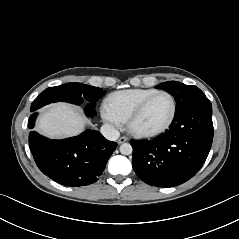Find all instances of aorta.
Masks as SVG:
<instances>
[{
  "label": "aorta",
  "mask_w": 239,
  "mask_h": 239,
  "mask_svg": "<svg viewBox=\"0 0 239 239\" xmlns=\"http://www.w3.org/2000/svg\"><path fill=\"white\" fill-rule=\"evenodd\" d=\"M132 151H133L132 146L129 143H123L120 146V152L123 155H130L132 154Z\"/></svg>",
  "instance_id": "aorta-1"
}]
</instances>
